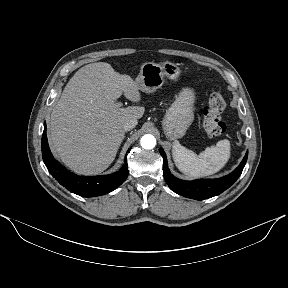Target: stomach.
Masks as SVG:
<instances>
[{"label":"stomach","instance_id":"1","mask_svg":"<svg viewBox=\"0 0 288 288\" xmlns=\"http://www.w3.org/2000/svg\"><path fill=\"white\" fill-rule=\"evenodd\" d=\"M181 74L180 68L172 62L157 64L146 62L141 66L135 79L139 90L152 93L161 88L165 79L176 80ZM195 92L192 88H183L175 96L174 102L167 109L162 127L170 140L182 138L194 120Z\"/></svg>","mask_w":288,"mask_h":288}]
</instances>
